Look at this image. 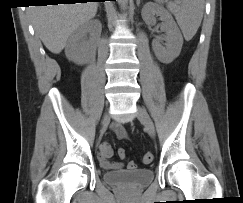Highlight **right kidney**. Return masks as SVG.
<instances>
[{"label":"right kidney","instance_id":"obj_1","mask_svg":"<svg viewBox=\"0 0 243 203\" xmlns=\"http://www.w3.org/2000/svg\"><path fill=\"white\" fill-rule=\"evenodd\" d=\"M101 30V23L98 20H93L80 25L70 35L66 48V57L76 64H83L89 61L92 57L94 46L85 37L88 33H96Z\"/></svg>","mask_w":243,"mask_h":203}]
</instances>
